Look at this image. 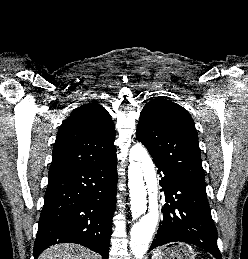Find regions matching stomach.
<instances>
[{"mask_svg":"<svg viewBox=\"0 0 248 259\" xmlns=\"http://www.w3.org/2000/svg\"><path fill=\"white\" fill-rule=\"evenodd\" d=\"M157 259H195V252L185 243H172L158 248Z\"/></svg>","mask_w":248,"mask_h":259,"instance_id":"1","label":"stomach"}]
</instances>
